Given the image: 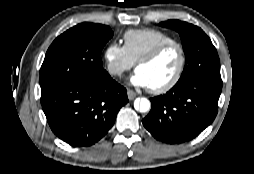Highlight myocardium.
<instances>
[{"label": "myocardium", "mask_w": 254, "mask_h": 174, "mask_svg": "<svg viewBox=\"0 0 254 174\" xmlns=\"http://www.w3.org/2000/svg\"><path fill=\"white\" fill-rule=\"evenodd\" d=\"M171 47H176L180 53V62H179L178 69L174 77L166 84L157 88H149V91L153 94L166 93L170 91L171 89H173L177 85V83L180 81L186 67V51L184 46L180 42H177L175 40L160 44L154 49H152L150 52H148L141 59H139L136 63V68H138L140 65L150 63L154 61L159 55H161L165 50Z\"/></svg>", "instance_id": "obj_1"}]
</instances>
